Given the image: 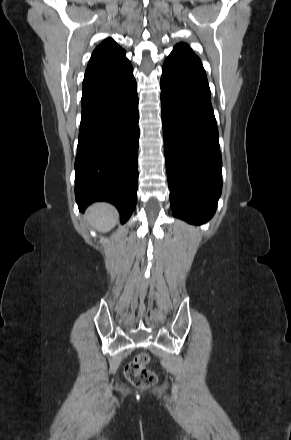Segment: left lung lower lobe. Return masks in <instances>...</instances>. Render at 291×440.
<instances>
[{
  "label": "left lung lower lobe",
  "mask_w": 291,
  "mask_h": 440,
  "mask_svg": "<svg viewBox=\"0 0 291 440\" xmlns=\"http://www.w3.org/2000/svg\"><path fill=\"white\" fill-rule=\"evenodd\" d=\"M164 151L174 216L212 218L222 190L218 129L205 70L195 55L171 53L160 81Z\"/></svg>",
  "instance_id": "0a47b994"
}]
</instances>
